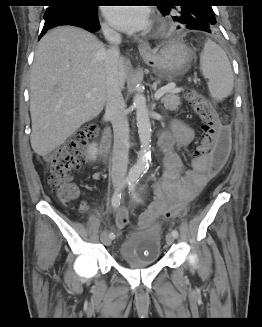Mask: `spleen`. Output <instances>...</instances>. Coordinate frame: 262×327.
Masks as SVG:
<instances>
[{
    "label": "spleen",
    "instance_id": "1",
    "mask_svg": "<svg viewBox=\"0 0 262 327\" xmlns=\"http://www.w3.org/2000/svg\"><path fill=\"white\" fill-rule=\"evenodd\" d=\"M200 69L208 79V89L212 98L222 100L231 94L233 73L224 50L211 40H207L200 58Z\"/></svg>",
    "mask_w": 262,
    "mask_h": 327
}]
</instances>
